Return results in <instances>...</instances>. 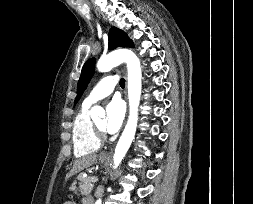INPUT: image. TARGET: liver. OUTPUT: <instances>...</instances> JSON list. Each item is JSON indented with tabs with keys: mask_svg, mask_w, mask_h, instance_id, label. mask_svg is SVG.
Segmentation results:
<instances>
[{
	"mask_svg": "<svg viewBox=\"0 0 253 204\" xmlns=\"http://www.w3.org/2000/svg\"><path fill=\"white\" fill-rule=\"evenodd\" d=\"M97 157L98 156L96 154H90V155H86L82 158L76 159L73 162V167H72L71 171L66 175V180L70 176L84 170L85 168L92 166L94 163H96Z\"/></svg>",
	"mask_w": 253,
	"mask_h": 204,
	"instance_id": "1",
	"label": "liver"
}]
</instances>
